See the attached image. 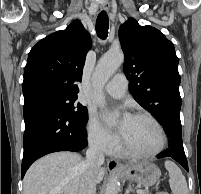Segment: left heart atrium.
Instances as JSON below:
<instances>
[{"mask_svg": "<svg viewBox=\"0 0 201 194\" xmlns=\"http://www.w3.org/2000/svg\"><path fill=\"white\" fill-rule=\"evenodd\" d=\"M103 117L106 118V115L103 114ZM132 118V116L128 113H125L124 114V117H123V120L121 122V125L119 127V132L122 136H124L125 134V130H126V126L128 124V122L130 121V119Z\"/></svg>", "mask_w": 201, "mask_h": 194, "instance_id": "39dd6f15", "label": "left heart atrium"}]
</instances>
